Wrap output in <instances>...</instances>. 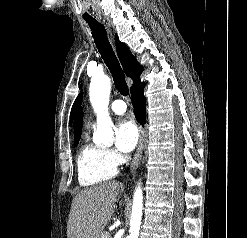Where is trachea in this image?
Listing matches in <instances>:
<instances>
[{"label": "trachea", "mask_w": 247, "mask_h": 238, "mask_svg": "<svg viewBox=\"0 0 247 238\" xmlns=\"http://www.w3.org/2000/svg\"><path fill=\"white\" fill-rule=\"evenodd\" d=\"M87 23L91 28L96 47L112 74L116 89L122 95H128L129 89L125 81L124 72L107 38L105 27L96 20L87 21Z\"/></svg>", "instance_id": "trachea-1"}]
</instances>
